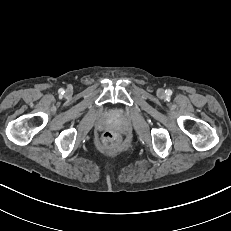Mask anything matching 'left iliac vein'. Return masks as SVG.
Here are the masks:
<instances>
[{
  "label": "left iliac vein",
  "instance_id": "obj_1",
  "mask_svg": "<svg viewBox=\"0 0 231 231\" xmlns=\"http://www.w3.org/2000/svg\"><path fill=\"white\" fill-rule=\"evenodd\" d=\"M157 95H158L159 97H164V96H165L164 90H163V89H158V90H157Z\"/></svg>",
  "mask_w": 231,
  "mask_h": 231
}]
</instances>
